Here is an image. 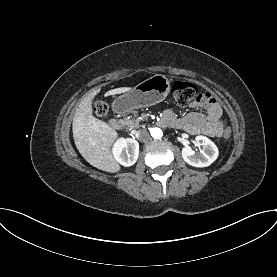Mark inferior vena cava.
<instances>
[{
	"label": "inferior vena cava",
	"instance_id": "obj_1",
	"mask_svg": "<svg viewBox=\"0 0 277 277\" xmlns=\"http://www.w3.org/2000/svg\"><path fill=\"white\" fill-rule=\"evenodd\" d=\"M137 139L141 142H147L150 139L149 132L145 129L137 131Z\"/></svg>",
	"mask_w": 277,
	"mask_h": 277
}]
</instances>
